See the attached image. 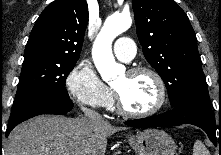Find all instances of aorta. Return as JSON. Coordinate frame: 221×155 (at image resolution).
Returning a JSON list of instances; mask_svg holds the SVG:
<instances>
[{
  "label": "aorta",
  "instance_id": "1",
  "mask_svg": "<svg viewBox=\"0 0 221 155\" xmlns=\"http://www.w3.org/2000/svg\"><path fill=\"white\" fill-rule=\"evenodd\" d=\"M129 15H113L107 18L92 48L94 64L105 82L115 79L121 65L117 64L112 53L113 40L131 27Z\"/></svg>",
  "mask_w": 221,
  "mask_h": 155
}]
</instances>
